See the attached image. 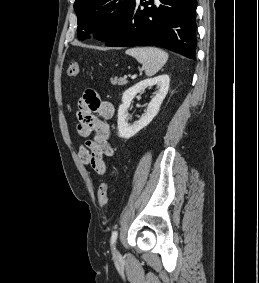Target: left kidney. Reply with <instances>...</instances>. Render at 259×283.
<instances>
[{"label":"left kidney","mask_w":259,"mask_h":283,"mask_svg":"<svg viewBox=\"0 0 259 283\" xmlns=\"http://www.w3.org/2000/svg\"><path fill=\"white\" fill-rule=\"evenodd\" d=\"M170 78L168 75H159L152 79L140 81L127 89L122 96V104L118 109V135L120 138L129 139L146 127L159 112L160 106L165 99L169 89ZM156 85L158 92L148 104L147 110L141 118L133 124L127 122L128 108L133 98L146 88Z\"/></svg>","instance_id":"left-kidney-1"}]
</instances>
